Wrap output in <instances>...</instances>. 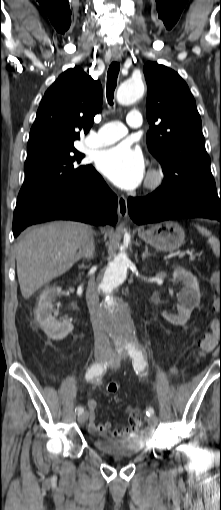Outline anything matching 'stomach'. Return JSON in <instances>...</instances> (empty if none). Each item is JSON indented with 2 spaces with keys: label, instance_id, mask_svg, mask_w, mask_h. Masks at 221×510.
Listing matches in <instances>:
<instances>
[{
  "label": "stomach",
  "instance_id": "1",
  "mask_svg": "<svg viewBox=\"0 0 221 510\" xmlns=\"http://www.w3.org/2000/svg\"><path fill=\"white\" fill-rule=\"evenodd\" d=\"M139 237L147 244L161 251H174L181 247L185 240L182 227L176 222H162L149 229L139 231Z\"/></svg>",
  "mask_w": 221,
  "mask_h": 510
}]
</instances>
